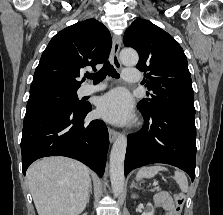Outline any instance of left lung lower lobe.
Masks as SVG:
<instances>
[{
	"mask_svg": "<svg viewBox=\"0 0 223 215\" xmlns=\"http://www.w3.org/2000/svg\"><path fill=\"white\" fill-rule=\"evenodd\" d=\"M145 124L141 131L128 136L124 172L151 164L166 163L195 178V114L174 109H142Z\"/></svg>",
	"mask_w": 223,
	"mask_h": 215,
	"instance_id": "left-lung-lower-lobe-1",
	"label": "left lung lower lobe"
}]
</instances>
